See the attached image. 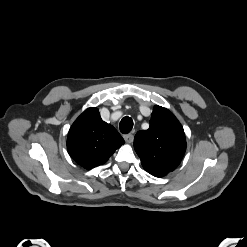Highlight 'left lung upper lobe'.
<instances>
[{
	"label": "left lung upper lobe",
	"mask_w": 247,
	"mask_h": 247,
	"mask_svg": "<svg viewBox=\"0 0 247 247\" xmlns=\"http://www.w3.org/2000/svg\"><path fill=\"white\" fill-rule=\"evenodd\" d=\"M134 148L144 169L155 177L175 170L186 150L184 130L166 108L154 106L148 130L139 131Z\"/></svg>",
	"instance_id": "obj_1"
}]
</instances>
